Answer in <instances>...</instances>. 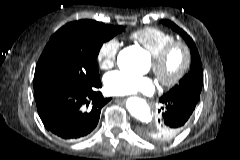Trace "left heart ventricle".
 I'll return each mask as SVG.
<instances>
[{
	"instance_id": "obj_1",
	"label": "left heart ventricle",
	"mask_w": 240,
	"mask_h": 160,
	"mask_svg": "<svg viewBox=\"0 0 240 160\" xmlns=\"http://www.w3.org/2000/svg\"><path fill=\"white\" fill-rule=\"evenodd\" d=\"M182 62V55L179 51H174L166 64L164 74L166 77H171L173 76L177 70L179 69L180 65Z\"/></svg>"
}]
</instances>
